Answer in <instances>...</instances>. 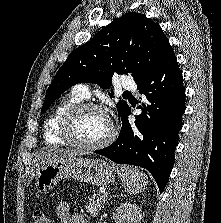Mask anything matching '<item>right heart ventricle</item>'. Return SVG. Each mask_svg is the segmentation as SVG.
Returning a JSON list of instances; mask_svg holds the SVG:
<instances>
[{
    "mask_svg": "<svg viewBox=\"0 0 221 223\" xmlns=\"http://www.w3.org/2000/svg\"><path fill=\"white\" fill-rule=\"evenodd\" d=\"M84 98L74 91L65 95L53 108L52 112L46 119L43 127V138L45 143L65 144V141L59 135V127L64 113L72 106L82 103Z\"/></svg>",
    "mask_w": 221,
    "mask_h": 223,
    "instance_id": "e07e8e85",
    "label": "right heart ventricle"
}]
</instances>
